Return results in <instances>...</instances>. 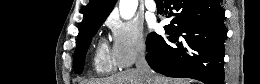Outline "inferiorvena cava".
<instances>
[{
	"label": "inferior vena cava",
	"mask_w": 260,
	"mask_h": 84,
	"mask_svg": "<svg viewBox=\"0 0 260 84\" xmlns=\"http://www.w3.org/2000/svg\"><path fill=\"white\" fill-rule=\"evenodd\" d=\"M145 51H142L136 62L137 71L143 73L146 77L147 82L150 84L152 81L150 73L152 72L145 58Z\"/></svg>",
	"instance_id": "602c4592"
}]
</instances>
